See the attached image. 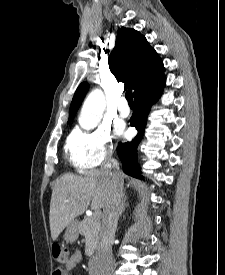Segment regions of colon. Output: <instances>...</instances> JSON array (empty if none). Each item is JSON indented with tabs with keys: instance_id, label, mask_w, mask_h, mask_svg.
<instances>
[{
	"instance_id": "1",
	"label": "colon",
	"mask_w": 225,
	"mask_h": 275,
	"mask_svg": "<svg viewBox=\"0 0 225 275\" xmlns=\"http://www.w3.org/2000/svg\"><path fill=\"white\" fill-rule=\"evenodd\" d=\"M52 255L55 262L58 264H66L70 260V253L68 249L60 246V245H54L52 248ZM59 271V270H57ZM55 272L54 274H56Z\"/></svg>"
}]
</instances>
